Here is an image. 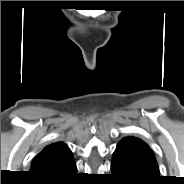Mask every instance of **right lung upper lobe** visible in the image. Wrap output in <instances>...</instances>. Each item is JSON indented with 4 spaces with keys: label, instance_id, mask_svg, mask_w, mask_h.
<instances>
[{
    "label": "right lung upper lobe",
    "instance_id": "1",
    "mask_svg": "<svg viewBox=\"0 0 184 184\" xmlns=\"http://www.w3.org/2000/svg\"><path fill=\"white\" fill-rule=\"evenodd\" d=\"M72 157V153L66 144L62 142L53 143L45 147L34 158L30 172L35 176L46 174L54 171Z\"/></svg>",
    "mask_w": 184,
    "mask_h": 184
}]
</instances>
